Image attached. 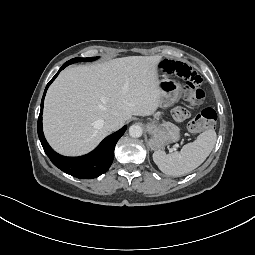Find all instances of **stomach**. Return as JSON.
<instances>
[{
	"instance_id": "stomach-1",
	"label": "stomach",
	"mask_w": 255,
	"mask_h": 255,
	"mask_svg": "<svg viewBox=\"0 0 255 255\" xmlns=\"http://www.w3.org/2000/svg\"><path fill=\"white\" fill-rule=\"evenodd\" d=\"M161 89L160 107H169L178 101L180 97L181 85L172 80H162L159 83ZM151 138L149 145L152 149H162L169 143L177 142L180 138L179 129H174L170 125H158L150 122L146 126Z\"/></svg>"
}]
</instances>
